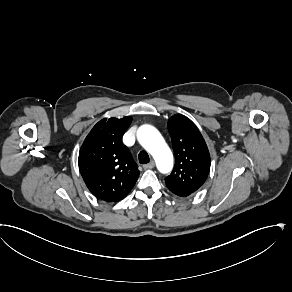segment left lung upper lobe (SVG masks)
<instances>
[{"label":"left lung upper lobe","mask_w":292,"mask_h":292,"mask_svg":"<svg viewBox=\"0 0 292 292\" xmlns=\"http://www.w3.org/2000/svg\"><path fill=\"white\" fill-rule=\"evenodd\" d=\"M168 131L175 153L174 169L165 178L173 193L196 192L206 181L210 170V154L196 125L186 116L173 115L168 120Z\"/></svg>","instance_id":"1"}]
</instances>
